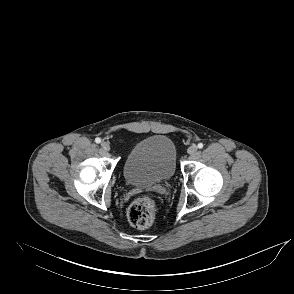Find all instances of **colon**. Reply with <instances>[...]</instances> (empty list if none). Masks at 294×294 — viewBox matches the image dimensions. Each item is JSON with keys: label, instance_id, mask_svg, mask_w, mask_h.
Returning <instances> with one entry per match:
<instances>
[{"label": "colon", "instance_id": "1", "mask_svg": "<svg viewBox=\"0 0 294 294\" xmlns=\"http://www.w3.org/2000/svg\"><path fill=\"white\" fill-rule=\"evenodd\" d=\"M156 215V204L149 195H142L136 198L129 206L127 217L130 224L136 228L149 227Z\"/></svg>", "mask_w": 294, "mask_h": 294}]
</instances>
